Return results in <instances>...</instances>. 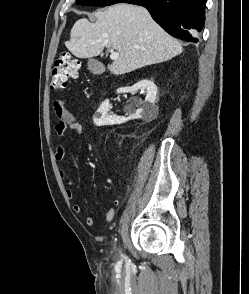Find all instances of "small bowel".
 Listing matches in <instances>:
<instances>
[{
	"instance_id": "c3829d8e",
	"label": "small bowel",
	"mask_w": 249,
	"mask_h": 294,
	"mask_svg": "<svg viewBox=\"0 0 249 294\" xmlns=\"http://www.w3.org/2000/svg\"><path fill=\"white\" fill-rule=\"evenodd\" d=\"M63 101H58L55 103V110L60 118L59 122L56 125V132L59 136H63V134L66 131H72L76 134H80L82 131V125L81 123L72 115L66 112L63 109ZM66 154V148L64 144H59L57 146L56 152H55V158L58 161H61L64 159ZM60 176L62 179V182L68 186L71 187L74 184L73 179L66 173L64 169L60 170ZM66 195L69 200H73L75 198V193L71 188H67L66 190ZM115 205H118L119 202L115 201ZM73 211L77 214H82L83 213V208L79 204H74L73 205ZM115 217V208L114 207H108L106 214H105V219L107 222L113 221ZM85 223L89 227H93L95 225V220L92 216L87 215L85 217Z\"/></svg>"
}]
</instances>
